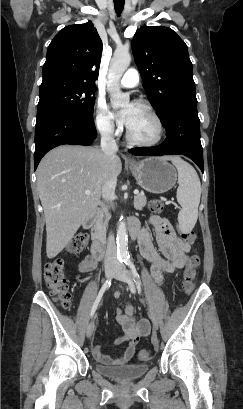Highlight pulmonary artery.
Returning <instances> with one entry per match:
<instances>
[{
    "mask_svg": "<svg viewBox=\"0 0 243 409\" xmlns=\"http://www.w3.org/2000/svg\"><path fill=\"white\" fill-rule=\"evenodd\" d=\"M139 83V73L136 69H128L120 80L121 86L133 88Z\"/></svg>",
    "mask_w": 243,
    "mask_h": 409,
    "instance_id": "pulmonary-artery-1",
    "label": "pulmonary artery"
}]
</instances>
